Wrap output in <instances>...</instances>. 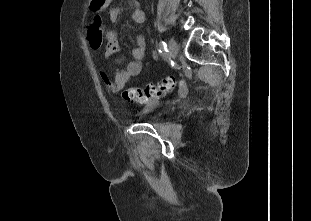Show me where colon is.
<instances>
[{"mask_svg": "<svg viewBox=\"0 0 311 221\" xmlns=\"http://www.w3.org/2000/svg\"><path fill=\"white\" fill-rule=\"evenodd\" d=\"M87 34L90 46L94 49H98L104 36V23L101 17L96 16L89 23ZM177 84L178 79L174 76H169L156 84L145 87L127 88L122 92V97L127 101L151 105L165 95L171 94L175 90Z\"/></svg>", "mask_w": 311, "mask_h": 221, "instance_id": "obj_1", "label": "colon"}]
</instances>
